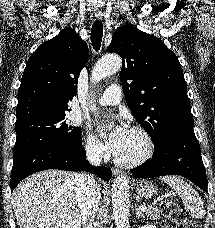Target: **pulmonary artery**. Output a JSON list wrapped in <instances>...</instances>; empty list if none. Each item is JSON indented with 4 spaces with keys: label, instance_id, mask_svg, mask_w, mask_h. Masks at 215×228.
<instances>
[{
    "label": "pulmonary artery",
    "instance_id": "pulmonary-artery-1",
    "mask_svg": "<svg viewBox=\"0 0 215 228\" xmlns=\"http://www.w3.org/2000/svg\"><path fill=\"white\" fill-rule=\"evenodd\" d=\"M121 99V91L117 88V84H108V89L101 95L99 104L102 106H113L119 104Z\"/></svg>",
    "mask_w": 215,
    "mask_h": 228
}]
</instances>
